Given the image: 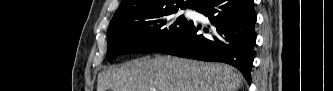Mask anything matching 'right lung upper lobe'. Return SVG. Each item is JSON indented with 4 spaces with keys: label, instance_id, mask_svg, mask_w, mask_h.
<instances>
[{
    "label": "right lung upper lobe",
    "instance_id": "obj_1",
    "mask_svg": "<svg viewBox=\"0 0 333 91\" xmlns=\"http://www.w3.org/2000/svg\"><path fill=\"white\" fill-rule=\"evenodd\" d=\"M205 0H122L110 23L124 22L158 12L198 8Z\"/></svg>",
    "mask_w": 333,
    "mask_h": 91
}]
</instances>
